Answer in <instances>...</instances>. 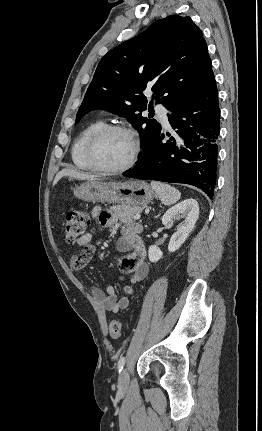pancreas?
Instances as JSON below:
<instances>
[{"instance_id": "1", "label": "pancreas", "mask_w": 262, "mask_h": 431, "mask_svg": "<svg viewBox=\"0 0 262 431\" xmlns=\"http://www.w3.org/2000/svg\"><path fill=\"white\" fill-rule=\"evenodd\" d=\"M112 210L123 223H132L134 221V216L142 211L141 207L138 206H126L119 205L112 207Z\"/></svg>"}]
</instances>
